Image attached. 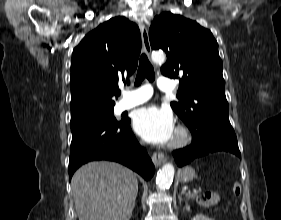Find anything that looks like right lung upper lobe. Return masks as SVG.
Masks as SVG:
<instances>
[{
    "label": "right lung upper lobe",
    "mask_w": 281,
    "mask_h": 220,
    "mask_svg": "<svg viewBox=\"0 0 281 220\" xmlns=\"http://www.w3.org/2000/svg\"><path fill=\"white\" fill-rule=\"evenodd\" d=\"M138 26L122 16L88 33L71 60V119L112 109L118 82H129L138 64Z\"/></svg>",
    "instance_id": "right-lung-upper-lobe-1"
}]
</instances>
